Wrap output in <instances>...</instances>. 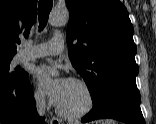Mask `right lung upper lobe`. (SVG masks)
<instances>
[{
	"mask_svg": "<svg viewBox=\"0 0 156 124\" xmlns=\"http://www.w3.org/2000/svg\"><path fill=\"white\" fill-rule=\"evenodd\" d=\"M36 8L37 0H0V60L12 59L19 35H29Z\"/></svg>",
	"mask_w": 156,
	"mask_h": 124,
	"instance_id": "obj_1",
	"label": "right lung upper lobe"
}]
</instances>
